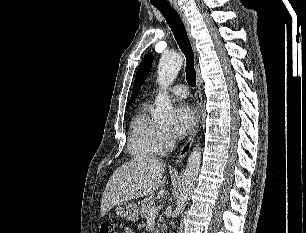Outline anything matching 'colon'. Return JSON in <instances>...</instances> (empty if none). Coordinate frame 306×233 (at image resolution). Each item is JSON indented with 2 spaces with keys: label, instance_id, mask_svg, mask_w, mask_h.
I'll use <instances>...</instances> for the list:
<instances>
[{
  "label": "colon",
  "instance_id": "colon-1",
  "mask_svg": "<svg viewBox=\"0 0 306 233\" xmlns=\"http://www.w3.org/2000/svg\"><path fill=\"white\" fill-rule=\"evenodd\" d=\"M99 233H116V231L111 223H103L100 227ZM125 233H133V232L131 230H127Z\"/></svg>",
  "mask_w": 306,
  "mask_h": 233
}]
</instances>
